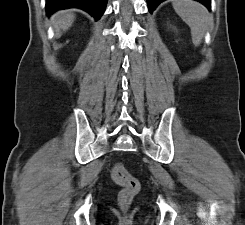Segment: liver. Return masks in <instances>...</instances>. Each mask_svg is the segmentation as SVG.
Returning <instances> with one entry per match:
<instances>
[{
    "label": "liver",
    "instance_id": "1",
    "mask_svg": "<svg viewBox=\"0 0 245 225\" xmlns=\"http://www.w3.org/2000/svg\"><path fill=\"white\" fill-rule=\"evenodd\" d=\"M75 20V15L71 10L59 11L51 17V23L56 32L68 30Z\"/></svg>",
    "mask_w": 245,
    "mask_h": 225
}]
</instances>
